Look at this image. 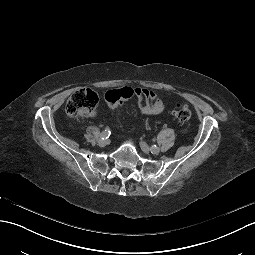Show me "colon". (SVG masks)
<instances>
[{
    "mask_svg": "<svg viewBox=\"0 0 255 255\" xmlns=\"http://www.w3.org/2000/svg\"><path fill=\"white\" fill-rule=\"evenodd\" d=\"M136 94L135 89L124 87L118 90L108 91L105 95L111 106L117 105L124 99ZM98 104V96L91 89H79L75 91L66 103V113L71 116H86L93 112ZM173 117L181 126H186L191 117V111L186 104L177 103L173 110Z\"/></svg>",
    "mask_w": 255,
    "mask_h": 255,
    "instance_id": "5ec220e1",
    "label": "colon"
}]
</instances>
